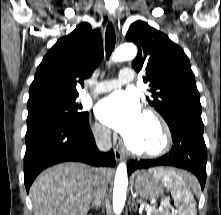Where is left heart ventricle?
Here are the masks:
<instances>
[{"mask_svg": "<svg viewBox=\"0 0 221 215\" xmlns=\"http://www.w3.org/2000/svg\"><path fill=\"white\" fill-rule=\"evenodd\" d=\"M126 139L135 148L152 150L160 143V133L157 126L150 119L142 116L137 129Z\"/></svg>", "mask_w": 221, "mask_h": 215, "instance_id": "b2bd125f", "label": "left heart ventricle"}]
</instances>
